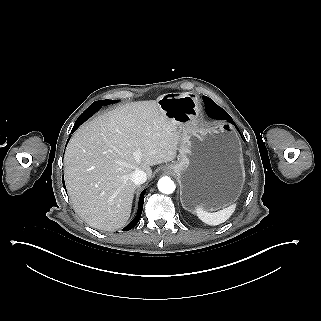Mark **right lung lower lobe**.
Returning <instances> with one entry per match:
<instances>
[{"label": "right lung lower lobe", "instance_id": "obj_1", "mask_svg": "<svg viewBox=\"0 0 321 321\" xmlns=\"http://www.w3.org/2000/svg\"><path fill=\"white\" fill-rule=\"evenodd\" d=\"M117 102V101H115ZM113 102H108V100H99L94 103H92L77 119V121L74 124V127L72 129V132H74L83 122H85L88 118H90L95 112H97L103 105H108ZM146 190H144L139 199V204H138V210H137V215L136 217L132 220V222L127 225L123 231H128L132 229L139 221L142 209H143V201H144V195H145Z\"/></svg>", "mask_w": 321, "mask_h": 321}]
</instances>
